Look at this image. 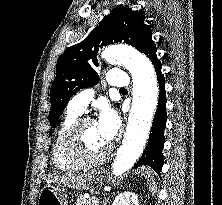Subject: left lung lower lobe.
<instances>
[{
	"mask_svg": "<svg viewBox=\"0 0 222 205\" xmlns=\"http://www.w3.org/2000/svg\"><path fill=\"white\" fill-rule=\"evenodd\" d=\"M141 52L150 58L155 67L157 80L160 87V94L147 146L134 168L142 165H149L156 171V173L160 174L163 166L162 149L165 142L164 129L166 127L167 120L166 95L165 79L161 72L162 65L160 60L157 58L156 46L152 40V35L146 39Z\"/></svg>",
	"mask_w": 222,
	"mask_h": 205,
	"instance_id": "left-lung-lower-lobe-1",
	"label": "left lung lower lobe"
}]
</instances>
